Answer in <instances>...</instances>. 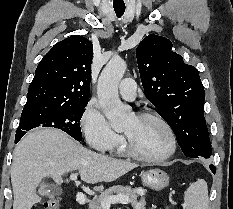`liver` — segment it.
I'll list each match as a JSON object with an SVG mask.
<instances>
[{
	"label": "liver",
	"instance_id": "6515ba94",
	"mask_svg": "<svg viewBox=\"0 0 233 209\" xmlns=\"http://www.w3.org/2000/svg\"><path fill=\"white\" fill-rule=\"evenodd\" d=\"M138 165L96 153L57 129L28 133L13 152L11 183L13 209H31L41 201L36 188L45 177L60 185L67 172L79 171L88 184L112 182Z\"/></svg>",
	"mask_w": 233,
	"mask_h": 209
}]
</instances>
